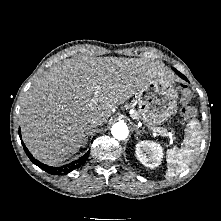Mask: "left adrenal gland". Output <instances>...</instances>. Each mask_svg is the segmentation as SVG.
<instances>
[{
    "instance_id": "a2214340",
    "label": "left adrenal gland",
    "mask_w": 221,
    "mask_h": 221,
    "mask_svg": "<svg viewBox=\"0 0 221 221\" xmlns=\"http://www.w3.org/2000/svg\"><path fill=\"white\" fill-rule=\"evenodd\" d=\"M134 130H135V132H136L135 138L138 139V136L141 134V131L138 130V128H135Z\"/></svg>"
}]
</instances>
